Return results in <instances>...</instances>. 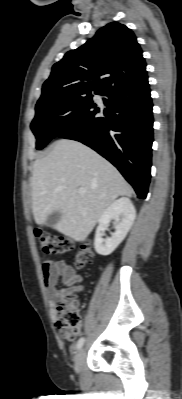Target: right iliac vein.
Here are the masks:
<instances>
[{
  "label": "right iliac vein",
  "mask_w": 182,
  "mask_h": 399,
  "mask_svg": "<svg viewBox=\"0 0 182 399\" xmlns=\"http://www.w3.org/2000/svg\"><path fill=\"white\" fill-rule=\"evenodd\" d=\"M85 357H86V351H85L84 348H81L77 352L76 357H75V365H74V367H75V371L77 373H79L81 371V369H82V367L84 365V362H85Z\"/></svg>",
  "instance_id": "1"
}]
</instances>
